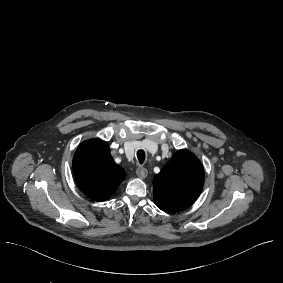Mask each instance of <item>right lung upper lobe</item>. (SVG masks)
<instances>
[{"instance_id": "obj_1", "label": "right lung upper lobe", "mask_w": 283, "mask_h": 283, "mask_svg": "<svg viewBox=\"0 0 283 283\" xmlns=\"http://www.w3.org/2000/svg\"><path fill=\"white\" fill-rule=\"evenodd\" d=\"M73 172L83 193L96 201L109 199L125 179V171L114 162L109 144L98 138L79 145L73 158Z\"/></svg>"}]
</instances>
